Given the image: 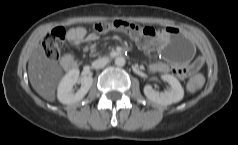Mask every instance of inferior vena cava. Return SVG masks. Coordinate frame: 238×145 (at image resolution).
I'll use <instances>...</instances> for the list:
<instances>
[{
	"label": "inferior vena cava",
	"mask_w": 238,
	"mask_h": 145,
	"mask_svg": "<svg viewBox=\"0 0 238 145\" xmlns=\"http://www.w3.org/2000/svg\"><path fill=\"white\" fill-rule=\"evenodd\" d=\"M109 62L108 58H99L92 62V67L94 69L103 68Z\"/></svg>",
	"instance_id": "602c4592"
}]
</instances>
